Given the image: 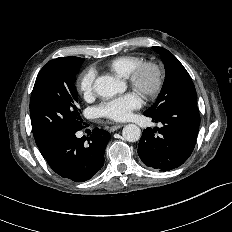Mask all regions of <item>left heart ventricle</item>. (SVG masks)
Masks as SVG:
<instances>
[{"label": "left heart ventricle", "mask_w": 232, "mask_h": 232, "mask_svg": "<svg viewBox=\"0 0 232 232\" xmlns=\"http://www.w3.org/2000/svg\"><path fill=\"white\" fill-rule=\"evenodd\" d=\"M144 82L146 84H149L151 82V74L150 73H147L144 77Z\"/></svg>", "instance_id": "b2bd125f"}]
</instances>
